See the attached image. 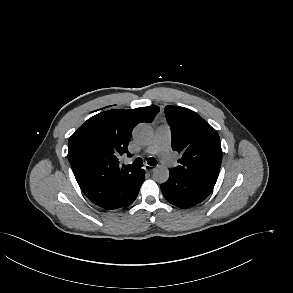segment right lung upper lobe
I'll return each mask as SVG.
<instances>
[{"mask_svg": "<svg viewBox=\"0 0 293 293\" xmlns=\"http://www.w3.org/2000/svg\"><path fill=\"white\" fill-rule=\"evenodd\" d=\"M157 106L108 110L88 119L69 138L68 159L83 193L94 204L119 209L128 204L142 182L141 170L119 165L128 152L133 127L152 122Z\"/></svg>", "mask_w": 293, "mask_h": 293, "instance_id": "cb5924a9", "label": "right lung upper lobe"}]
</instances>
